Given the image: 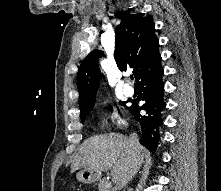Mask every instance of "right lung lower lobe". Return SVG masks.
<instances>
[{
	"mask_svg": "<svg viewBox=\"0 0 221 191\" xmlns=\"http://www.w3.org/2000/svg\"><path fill=\"white\" fill-rule=\"evenodd\" d=\"M163 68L161 67V57L158 61L146 69L136 80L141 89L138 100L132 101L128 110L134 115L140 125V143L149 150H156L159 141V129L163 123L162 112L166 107L163 100L164 86L162 84ZM143 100L142 106L138 102ZM146 111V115H141L140 111Z\"/></svg>",
	"mask_w": 221,
	"mask_h": 191,
	"instance_id": "obj_1",
	"label": "right lung lower lobe"
}]
</instances>
